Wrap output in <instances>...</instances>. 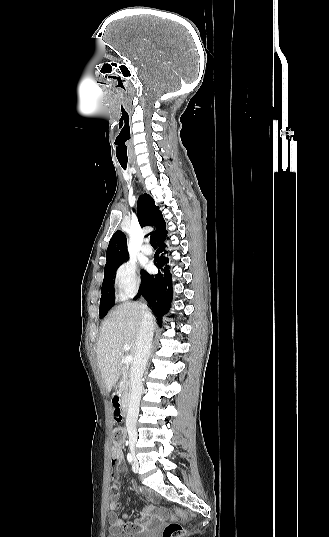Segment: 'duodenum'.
<instances>
[{"instance_id": "1", "label": "duodenum", "mask_w": 329, "mask_h": 537, "mask_svg": "<svg viewBox=\"0 0 329 537\" xmlns=\"http://www.w3.org/2000/svg\"><path fill=\"white\" fill-rule=\"evenodd\" d=\"M114 407H120L122 409V412L120 414L123 415V417L126 416L127 410H128V401L125 399H120L118 397L114 398Z\"/></svg>"}]
</instances>
